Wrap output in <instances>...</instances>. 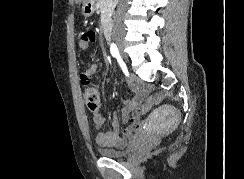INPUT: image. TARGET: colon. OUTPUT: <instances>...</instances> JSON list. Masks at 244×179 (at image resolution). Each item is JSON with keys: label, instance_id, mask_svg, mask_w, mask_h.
Returning a JSON list of instances; mask_svg holds the SVG:
<instances>
[{"label": "colon", "instance_id": "5ec220e1", "mask_svg": "<svg viewBox=\"0 0 244 179\" xmlns=\"http://www.w3.org/2000/svg\"><path fill=\"white\" fill-rule=\"evenodd\" d=\"M84 98L89 111L96 112L99 106V92L94 85L87 86L84 89ZM158 101H162V94L158 93L157 96H147L146 104H140V109H151L154 104H158ZM140 116H149V111H140Z\"/></svg>", "mask_w": 244, "mask_h": 179}]
</instances>
